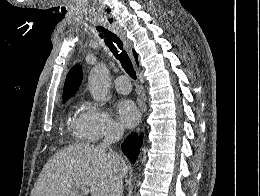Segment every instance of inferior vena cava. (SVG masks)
<instances>
[{
  "label": "inferior vena cava",
  "instance_id": "1",
  "mask_svg": "<svg viewBox=\"0 0 260 196\" xmlns=\"http://www.w3.org/2000/svg\"><path fill=\"white\" fill-rule=\"evenodd\" d=\"M121 136V130H111V132L105 136L104 140H102L101 144H99L98 150H100V152H105V154L106 152H109V154H115L111 148V144L118 142ZM114 158L115 162H124V160H122L121 156H118V154H115ZM110 196H123V182L121 178L116 180L115 186L110 192Z\"/></svg>",
  "mask_w": 260,
  "mask_h": 196
}]
</instances>
